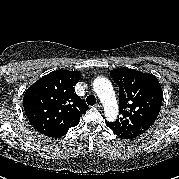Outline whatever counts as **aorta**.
<instances>
[{"label":"aorta","instance_id":"762f6f07","mask_svg":"<svg viewBox=\"0 0 179 179\" xmlns=\"http://www.w3.org/2000/svg\"><path fill=\"white\" fill-rule=\"evenodd\" d=\"M93 88L104 106L105 117L109 121H115L118 115V103L112 84L104 77H97L93 82Z\"/></svg>","mask_w":179,"mask_h":179}]
</instances>
